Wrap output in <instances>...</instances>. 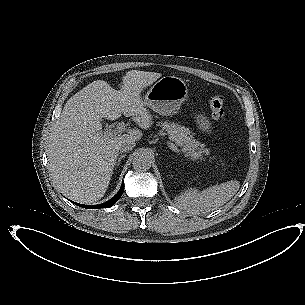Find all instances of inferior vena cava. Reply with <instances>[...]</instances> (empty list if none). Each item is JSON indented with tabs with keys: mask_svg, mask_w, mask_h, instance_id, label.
Returning <instances> with one entry per match:
<instances>
[{
	"mask_svg": "<svg viewBox=\"0 0 305 305\" xmlns=\"http://www.w3.org/2000/svg\"><path fill=\"white\" fill-rule=\"evenodd\" d=\"M135 147V140L131 137L123 138L118 143V149L121 152H127Z\"/></svg>",
	"mask_w": 305,
	"mask_h": 305,
	"instance_id": "inferior-vena-cava-1",
	"label": "inferior vena cava"
}]
</instances>
